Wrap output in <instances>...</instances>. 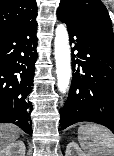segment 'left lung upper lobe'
I'll list each match as a JSON object with an SVG mask.
<instances>
[{
    "label": "left lung upper lobe",
    "instance_id": "1",
    "mask_svg": "<svg viewBox=\"0 0 114 156\" xmlns=\"http://www.w3.org/2000/svg\"><path fill=\"white\" fill-rule=\"evenodd\" d=\"M59 7L114 39L110 16L100 0H62Z\"/></svg>",
    "mask_w": 114,
    "mask_h": 156
}]
</instances>
